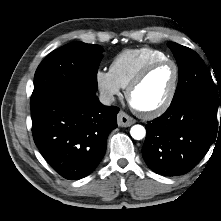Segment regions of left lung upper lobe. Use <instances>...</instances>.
<instances>
[{
    "instance_id": "1",
    "label": "left lung upper lobe",
    "mask_w": 221,
    "mask_h": 221,
    "mask_svg": "<svg viewBox=\"0 0 221 221\" xmlns=\"http://www.w3.org/2000/svg\"><path fill=\"white\" fill-rule=\"evenodd\" d=\"M179 67V80L172 102L197 96L215 105L221 104V92L217 93L212 76L199 55L188 47L169 42ZM220 95V98H219Z\"/></svg>"
}]
</instances>
